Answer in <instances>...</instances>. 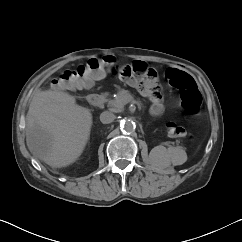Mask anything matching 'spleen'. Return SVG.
I'll return each instance as SVG.
<instances>
[{
	"label": "spleen",
	"instance_id": "obj_1",
	"mask_svg": "<svg viewBox=\"0 0 242 242\" xmlns=\"http://www.w3.org/2000/svg\"><path fill=\"white\" fill-rule=\"evenodd\" d=\"M177 150H178V148H170V149H168L166 154L161 159L162 162L163 161H168L169 163L170 162H174ZM167 166H169V165H164V167H167Z\"/></svg>",
	"mask_w": 242,
	"mask_h": 242
}]
</instances>
